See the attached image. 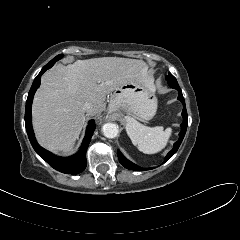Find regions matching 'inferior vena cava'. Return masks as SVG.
<instances>
[{
    "instance_id": "inferior-vena-cava-1",
    "label": "inferior vena cava",
    "mask_w": 240,
    "mask_h": 240,
    "mask_svg": "<svg viewBox=\"0 0 240 240\" xmlns=\"http://www.w3.org/2000/svg\"><path fill=\"white\" fill-rule=\"evenodd\" d=\"M91 109V106L89 103H85L83 106V111L88 112Z\"/></svg>"
}]
</instances>
